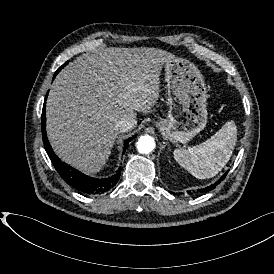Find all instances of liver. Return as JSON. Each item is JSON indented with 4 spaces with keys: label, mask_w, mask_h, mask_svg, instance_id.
Listing matches in <instances>:
<instances>
[{
    "label": "liver",
    "mask_w": 274,
    "mask_h": 274,
    "mask_svg": "<svg viewBox=\"0 0 274 274\" xmlns=\"http://www.w3.org/2000/svg\"><path fill=\"white\" fill-rule=\"evenodd\" d=\"M174 58L155 48H108L70 63L47 101V131L58 155L86 174L99 172L117 137L116 121L157 105L162 69Z\"/></svg>",
    "instance_id": "6515ba94"
}]
</instances>
